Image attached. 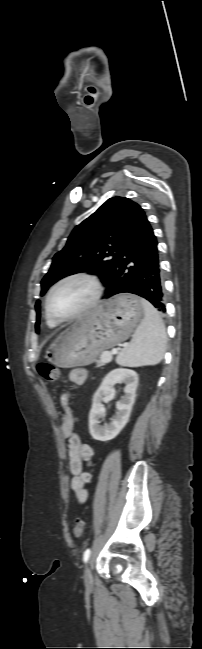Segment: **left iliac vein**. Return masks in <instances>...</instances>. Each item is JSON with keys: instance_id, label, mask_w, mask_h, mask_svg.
Listing matches in <instances>:
<instances>
[{"instance_id": "left-iliac-vein-1", "label": "left iliac vein", "mask_w": 202, "mask_h": 649, "mask_svg": "<svg viewBox=\"0 0 202 649\" xmlns=\"http://www.w3.org/2000/svg\"><path fill=\"white\" fill-rule=\"evenodd\" d=\"M84 583L86 588L90 589L93 586V577L89 564L84 569Z\"/></svg>"}]
</instances>
